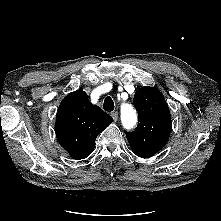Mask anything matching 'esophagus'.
I'll list each match as a JSON object with an SVG mask.
<instances>
[{
    "mask_svg": "<svg viewBox=\"0 0 221 221\" xmlns=\"http://www.w3.org/2000/svg\"><path fill=\"white\" fill-rule=\"evenodd\" d=\"M111 116L112 118L114 119V121H117L118 120V112L117 111H114L111 113Z\"/></svg>",
    "mask_w": 221,
    "mask_h": 221,
    "instance_id": "1",
    "label": "esophagus"
}]
</instances>
